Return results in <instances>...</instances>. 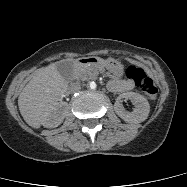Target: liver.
<instances>
[{
    "mask_svg": "<svg viewBox=\"0 0 187 187\" xmlns=\"http://www.w3.org/2000/svg\"><path fill=\"white\" fill-rule=\"evenodd\" d=\"M57 63L38 69L18 97L20 113L33 128H39L43 124L44 119L68 90V82L57 70Z\"/></svg>",
    "mask_w": 187,
    "mask_h": 187,
    "instance_id": "obj_1",
    "label": "liver"
}]
</instances>
